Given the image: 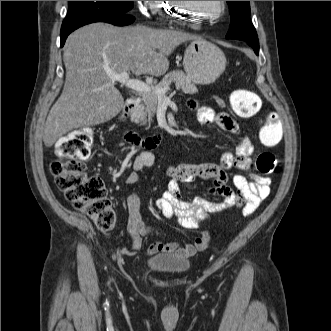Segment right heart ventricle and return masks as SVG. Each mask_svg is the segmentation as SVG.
Instances as JSON below:
<instances>
[{
  "label": "right heart ventricle",
  "mask_w": 331,
  "mask_h": 331,
  "mask_svg": "<svg viewBox=\"0 0 331 331\" xmlns=\"http://www.w3.org/2000/svg\"><path fill=\"white\" fill-rule=\"evenodd\" d=\"M156 10H158L161 15H165L169 11H174L173 1H159Z\"/></svg>",
  "instance_id": "e07e8e85"
}]
</instances>
